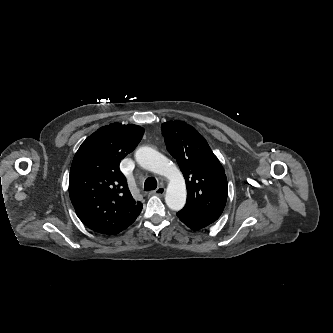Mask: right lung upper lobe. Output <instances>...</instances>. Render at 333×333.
<instances>
[{"label": "right lung upper lobe", "mask_w": 333, "mask_h": 333, "mask_svg": "<svg viewBox=\"0 0 333 333\" xmlns=\"http://www.w3.org/2000/svg\"><path fill=\"white\" fill-rule=\"evenodd\" d=\"M144 134L140 126L112 123L88 137L76 152L69 176V195L79 219L95 232L118 234L140 214L119 169Z\"/></svg>", "instance_id": "right-lung-upper-lobe-1"}]
</instances>
